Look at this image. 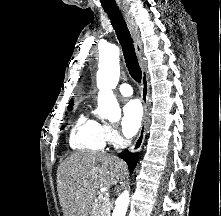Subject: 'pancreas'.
Here are the masks:
<instances>
[{"label":"pancreas","mask_w":221,"mask_h":216,"mask_svg":"<svg viewBox=\"0 0 221 216\" xmlns=\"http://www.w3.org/2000/svg\"><path fill=\"white\" fill-rule=\"evenodd\" d=\"M91 216H110V205L103 196L95 199Z\"/></svg>","instance_id":"pancreas-1"}]
</instances>
